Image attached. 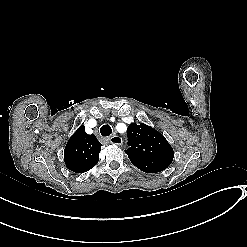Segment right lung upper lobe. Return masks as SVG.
Masks as SVG:
<instances>
[{"label":"right lung upper lobe","mask_w":247,"mask_h":247,"mask_svg":"<svg viewBox=\"0 0 247 247\" xmlns=\"http://www.w3.org/2000/svg\"><path fill=\"white\" fill-rule=\"evenodd\" d=\"M101 146L95 135L86 134L84 126H80L64 149L67 168L75 173L89 171L98 163Z\"/></svg>","instance_id":"obj_1"}]
</instances>
